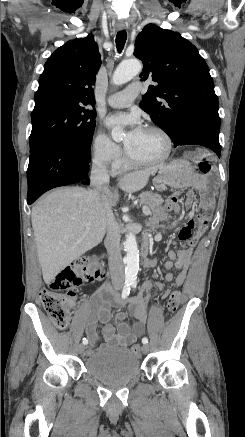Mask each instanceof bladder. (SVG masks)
Masks as SVG:
<instances>
[{
	"label": "bladder",
	"instance_id": "1",
	"mask_svg": "<svg viewBox=\"0 0 245 437\" xmlns=\"http://www.w3.org/2000/svg\"><path fill=\"white\" fill-rule=\"evenodd\" d=\"M84 367L99 381L117 385L128 382L138 373L140 361L127 348H101L85 360Z\"/></svg>",
	"mask_w": 245,
	"mask_h": 437
}]
</instances>
